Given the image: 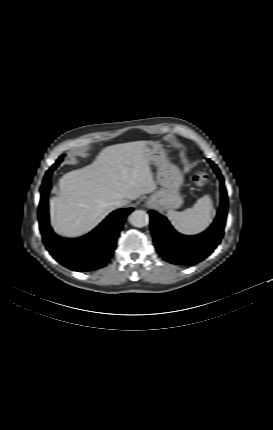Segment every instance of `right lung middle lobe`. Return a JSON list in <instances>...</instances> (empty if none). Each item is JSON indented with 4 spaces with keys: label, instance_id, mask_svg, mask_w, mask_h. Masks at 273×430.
Here are the masks:
<instances>
[{
    "label": "right lung middle lobe",
    "instance_id": "obj_1",
    "mask_svg": "<svg viewBox=\"0 0 273 430\" xmlns=\"http://www.w3.org/2000/svg\"><path fill=\"white\" fill-rule=\"evenodd\" d=\"M63 156H60L59 159L57 160V162L54 164L55 167H57L59 165V163L62 161Z\"/></svg>",
    "mask_w": 273,
    "mask_h": 430
}]
</instances>
